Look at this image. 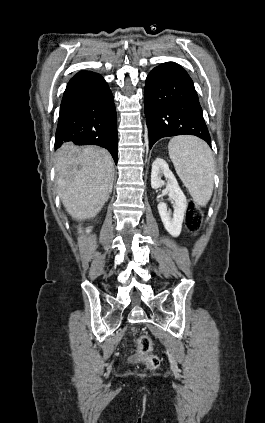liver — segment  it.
<instances>
[{"label": "liver", "mask_w": 265, "mask_h": 423, "mask_svg": "<svg viewBox=\"0 0 265 423\" xmlns=\"http://www.w3.org/2000/svg\"><path fill=\"white\" fill-rule=\"evenodd\" d=\"M59 195L74 219L95 217L112 192L114 163L110 153L96 146L64 143L55 155Z\"/></svg>", "instance_id": "liver-1"}]
</instances>
